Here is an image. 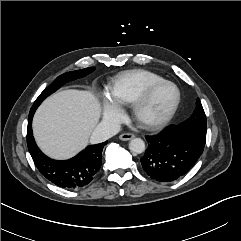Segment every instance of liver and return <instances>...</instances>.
Instances as JSON below:
<instances>
[{"label": "liver", "mask_w": 241, "mask_h": 241, "mask_svg": "<svg viewBox=\"0 0 241 241\" xmlns=\"http://www.w3.org/2000/svg\"><path fill=\"white\" fill-rule=\"evenodd\" d=\"M100 114V104L89 91L55 93L34 115V137L48 156L68 159L87 146Z\"/></svg>", "instance_id": "6515ba94"}]
</instances>
